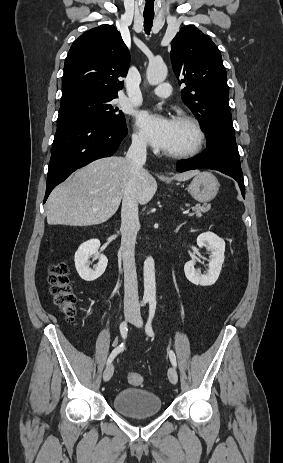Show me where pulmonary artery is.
Segmentation results:
<instances>
[{
  "mask_svg": "<svg viewBox=\"0 0 283 463\" xmlns=\"http://www.w3.org/2000/svg\"><path fill=\"white\" fill-rule=\"evenodd\" d=\"M150 93L159 98H169L171 96V86L167 83H163L156 88L149 90Z\"/></svg>",
  "mask_w": 283,
  "mask_h": 463,
  "instance_id": "pulmonary-artery-1",
  "label": "pulmonary artery"
}]
</instances>
